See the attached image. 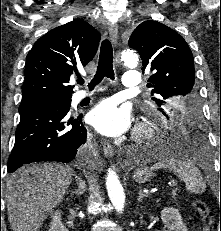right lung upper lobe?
Returning <instances> with one entry per match:
<instances>
[{"instance_id": "obj_1", "label": "right lung upper lobe", "mask_w": 221, "mask_h": 231, "mask_svg": "<svg viewBox=\"0 0 221 231\" xmlns=\"http://www.w3.org/2000/svg\"><path fill=\"white\" fill-rule=\"evenodd\" d=\"M99 32L83 20H73L39 38L26 57L22 100L70 99L73 73L95 56Z\"/></svg>"}]
</instances>
